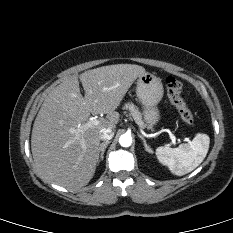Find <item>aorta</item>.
Segmentation results:
<instances>
[{
  "instance_id": "762f6f07",
  "label": "aorta",
  "mask_w": 233,
  "mask_h": 233,
  "mask_svg": "<svg viewBox=\"0 0 233 233\" xmlns=\"http://www.w3.org/2000/svg\"><path fill=\"white\" fill-rule=\"evenodd\" d=\"M119 144L122 147H129L132 144V137L129 134H122L119 138Z\"/></svg>"
}]
</instances>
